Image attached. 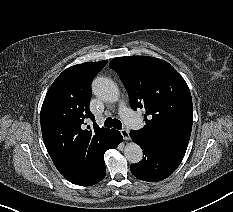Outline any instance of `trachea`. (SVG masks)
<instances>
[{
    "instance_id": "3493384b",
    "label": "trachea",
    "mask_w": 233,
    "mask_h": 212,
    "mask_svg": "<svg viewBox=\"0 0 233 212\" xmlns=\"http://www.w3.org/2000/svg\"><path fill=\"white\" fill-rule=\"evenodd\" d=\"M105 127H114L118 130L122 128V123L118 119L108 117L104 122Z\"/></svg>"
}]
</instances>
